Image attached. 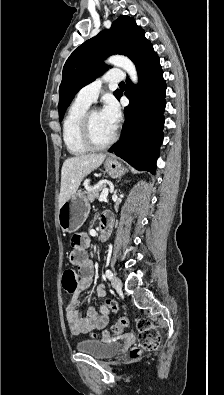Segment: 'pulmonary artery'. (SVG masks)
I'll use <instances>...</instances> for the list:
<instances>
[{"label":"pulmonary artery","mask_w":224,"mask_h":395,"mask_svg":"<svg viewBox=\"0 0 224 395\" xmlns=\"http://www.w3.org/2000/svg\"><path fill=\"white\" fill-rule=\"evenodd\" d=\"M124 76L125 74L123 70H109L103 78L97 79L94 82L80 89L77 94V99L85 103L91 104L97 99L101 91L103 82H119L124 79Z\"/></svg>","instance_id":"pulmonary-artery-1"}]
</instances>
